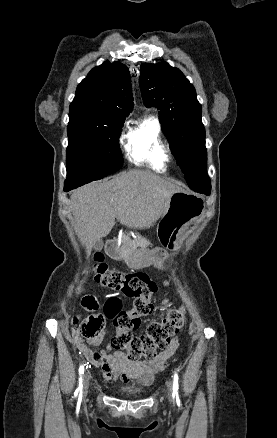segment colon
I'll list each match as a JSON object with an SVG mask.
<instances>
[{
  "label": "colon",
  "mask_w": 277,
  "mask_h": 438,
  "mask_svg": "<svg viewBox=\"0 0 277 438\" xmlns=\"http://www.w3.org/2000/svg\"><path fill=\"white\" fill-rule=\"evenodd\" d=\"M95 260L99 263L89 267L90 276L94 282L133 300V306L128 311L120 312L117 320L113 321L114 327L121 330L112 336L111 347L126 351L132 362L140 359H153L156 351L166 349L171 337L184 325L183 312L177 308L172 309L167 318L149 324L143 334H132L127 329L132 327L138 318L154 311L151 296L156 285L147 273L139 271L123 273L112 270L105 264L104 256L100 254L95 257ZM78 293L83 297L82 303L86 305L85 310L89 313V319L83 324L78 319L72 321L70 329L74 333L81 332L85 339L92 343L98 339V334L103 332L104 320L100 319L96 312L95 298L89 296L90 286L80 285ZM105 367L106 365L103 366Z\"/></svg>",
  "instance_id": "1"
}]
</instances>
